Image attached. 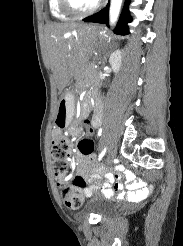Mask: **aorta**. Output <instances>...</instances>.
<instances>
[{"instance_id":"obj_1","label":"aorta","mask_w":183,"mask_h":246,"mask_svg":"<svg viewBox=\"0 0 183 246\" xmlns=\"http://www.w3.org/2000/svg\"><path fill=\"white\" fill-rule=\"evenodd\" d=\"M123 0H111L109 18L110 24L114 26L118 20Z\"/></svg>"}]
</instances>
